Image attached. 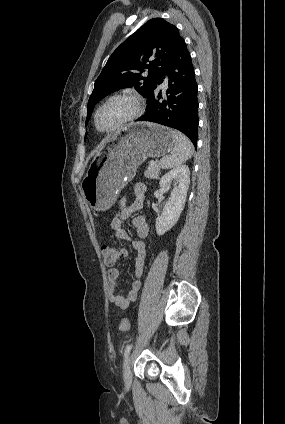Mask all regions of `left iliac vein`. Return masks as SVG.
<instances>
[{
    "label": "left iliac vein",
    "mask_w": 285,
    "mask_h": 424,
    "mask_svg": "<svg viewBox=\"0 0 285 424\" xmlns=\"http://www.w3.org/2000/svg\"><path fill=\"white\" fill-rule=\"evenodd\" d=\"M130 364H131V356H128L125 360L124 363V382L126 384H130L131 383V368H130Z\"/></svg>",
    "instance_id": "obj_1"
}]
</instances>
